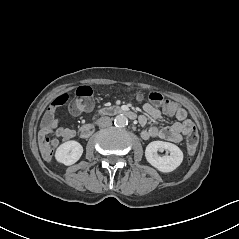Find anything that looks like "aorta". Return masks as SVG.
Returning a JSON list of instances; mask_svg holds the SVG:
<instances>
[{
    "mask_svg": "<svg viewBox=\"0 0 239 239\" xmlns=\"http://www.w3.org/2000/svg\"><path fill=\"white\" fill-rule=\"evenodd\" d=\"M114 124L117 127H125L128 124V118L123 114H119L115 117Z\"/></svg>",
    "mask_w": 239,
    "mask_h": 239,
    "instance_id": "762f6f07",
    "label": "aorta"
}]
</instances>
